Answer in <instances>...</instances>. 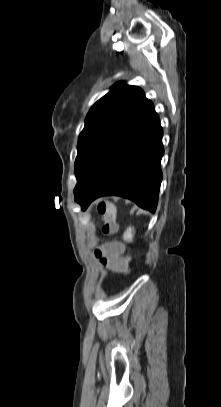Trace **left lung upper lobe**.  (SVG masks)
Instances as JSON below:
<instances>
[{
  "label": "left lung upper lobe",
  "instance_id": "obj_1",
  "mask_svg": "<svg viewBox=\"0 0 221 407\" xmlns=\"http://www.w3.org/2000/svg\"><path fill=\"white\" fill-rule=\"evenodd\" d=\"M147 101L140 88L119 82L92 106L78 139V154L74 165L77 179L75 194Z\"/></svg>",
  "mask_w": 221,
  "mask_h": 407
}]
</instances>
